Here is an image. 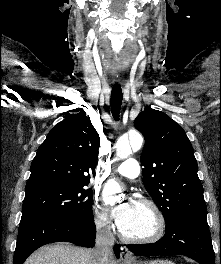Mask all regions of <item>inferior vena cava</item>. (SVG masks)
Here are the masks:
<instances>
[{
  "label": "inferior vena cava",
  "instance_id": "obj_1",
  "mask_svg": "<svg viewBox=\"0 0 221 264\" xmlns=\"http://www.w3.org/2000/svg\"><path fill=\"white\" fill-rule=\"evenodd\" d=\"M97 236L94 255L98 264H108L110 258L113 257L114 236L107 222H97Z\"/></svg>",
  "mask_w": 221,
  "mask_h": 264
}]
</instances>
